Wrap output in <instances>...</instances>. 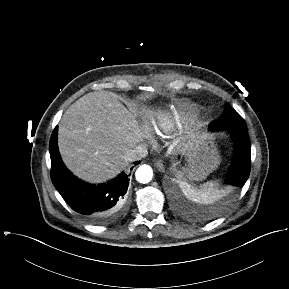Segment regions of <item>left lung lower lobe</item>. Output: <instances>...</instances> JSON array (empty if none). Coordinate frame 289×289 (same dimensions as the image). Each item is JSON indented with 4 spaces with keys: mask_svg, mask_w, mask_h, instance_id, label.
Listing matches in <instances>:
<instances>
[{
    "mask_svg": "<svg viewBox=\"0 0 289 289\" xmlns=\"http://www.w3.org/2000/svg\"><path fill=\"white\" fill-rule=\"evenodd\" d=\"M236 142V153L226 182L234 187H242L250 173V140L246 128L230 127Z\"/></svg>",
    "mask_w": 289,
    "mask_h": 289,
    "instance_id": "left-lung-lower-lobe-1",
    "label": "left lung lower lobe"
}]
</instances>
